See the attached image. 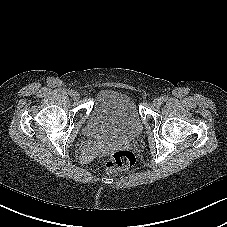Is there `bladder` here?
I'll list each match as a JSON object with an SVG mask.
<instances>
[{
  "mask_svg": "<svg viewBox=\"0 0 227 227\" xmlns=\"http://www.w3.org/2000/svg\"><path fill=\"white\" fill-rule=\"evenodd\" d=\"M97 138L107 144L136 140L142 120L132 99L120 92L106 90L98 97L90 116Z\"/></svg>",
  "mask_w": 227,
  "mask_h": 227,
  "instance_id": "31cf9c89",
  "label": "bladder"
}]
</instances>
